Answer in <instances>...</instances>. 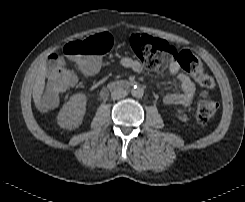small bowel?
Masks as SVG:
<instances>
[{
    "instance_id": "1",
    "label": "small bowel",
    "mask_w": 245,
    "mask_h": 202,
    "mask_svg": "<svg viewBox=\"0 0 245 202\" xmlns=\"http://www.w3.org/2000/svg\"><path fill=\"white\" fill-rule=\"evenodd\" d=\"M119 64L128 70H131L135 73H142V65L131 57H122L119 60ZM99 70V66L94 63H90L88 66V72L91 74L96 73ZM170 76L176 78L179 84V90L175 92L168 93L164 97V103L170 106H187L191 103L193 96L195 94V84L190 78V76L182 70L178 62H173L169 67ZM54 107V102L52 100H45L39 104V110L42 113H48Z\"/></svg>"
}]
</instances>
